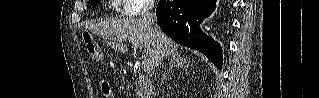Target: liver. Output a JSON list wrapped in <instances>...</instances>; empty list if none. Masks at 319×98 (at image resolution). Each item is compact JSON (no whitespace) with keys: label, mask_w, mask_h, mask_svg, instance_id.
Instances as JSON below:
<instances>
[{"label":"liver","mask_w":319,"mask_h":98,"mask_svg":"<svg viewBox=\"0 0 319 98\" xmlns=\"http://www.w3.org/2000/svg\"><path fill=\"white\" fill-rule=\"evenodd\" d=\"M88 29L106 39L114 36L119 38L118 41L139 42L146 55L150 57L153 66L161 65L167 56L178 54V44L161 32L159 28L155 33H151L142 18L101 21L89 25ZM108 44L119 52L126 53L128 51L125 45L113 42H108Z\"/></svg>","instance_id":"1"}]
</instances>
